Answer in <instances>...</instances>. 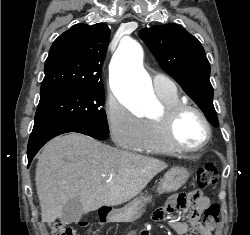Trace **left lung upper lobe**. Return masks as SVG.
<instances>
[{
	"mask_svg": "<svg viewBox=\"0 0 250 235\" xmlns=\"http://www.w3.org/2000/svg\"><path fill=\"white\" fill-rule=\"evenodd\" d=\"M140 38L151 50L159 65L170 74L218 126L210 83V64L199 40L175 23L144 28Z\"/></svg>",
	"mask_w": 250,
	"mask_h": 235,
	"instance_id": "left-lung-upper-lobe-1",
	"label": "left lung upper lobe"
}]
</instances>
